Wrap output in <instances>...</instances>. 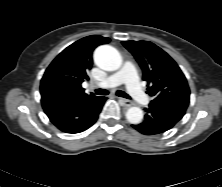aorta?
<instances>
[{
  "mask_svg": "<svg viewBox=\"0 0 222 187\" xmlns=\"http://www.w3.org/2000/svg\"><path fill=\"white\" fill-rule=\"evenodd\" d=\"M94 61L97 66L107 71H116L122 66V56L117 49L110 45H101L94 52ZM144 117L140 107H130L126 118L131 124H139Z\"/></svg>",
  "mask_w": 222,
  "mask_h": 187,
  "instance_id": "aorta-1",
  "label": "aorta"
}]
</instances>
